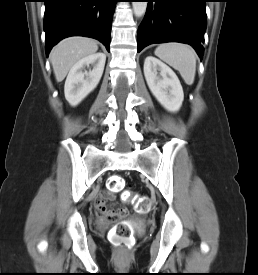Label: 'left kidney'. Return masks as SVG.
I'll use <instances>...</instances> for the list:
<instances>
[{"label": "left kidney", "mask_w": 258, "mask_h": 275, "mask_svg": "<svg viewBox=\"0 0 258 275\" xmlns=\"http://www.w3.org/2000/svg\"><path fill=\"white\" fill-rule=\"evenodd\" d=\"M144 76L159 103L170 112L179 111L184 93L175 72L156 57L148 56L144 61Z\"/></svg>", "instance_id": "obj_1"}]
</instances>
